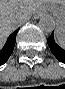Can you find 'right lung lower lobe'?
Returning <instances> with one entry per match:
<instances>
[{
    "label": "right lung lower lobe",
    "mask_w": 65,
    "mask_h": 89,
    "mask_svg": "<svg viewBox=\"0 0 65 89\" xmlns=\"http://www.w3.org/2000/svg\"><path fill=\"white\" fill-rule=\"evenodd\" d=\"M18 30H16L14 33H12L2 50H0V65L4 64L10 57V55L13 52L15 42H16V34Z\"/></svg>",
    "instance_id": "1"
}]
</instances>
